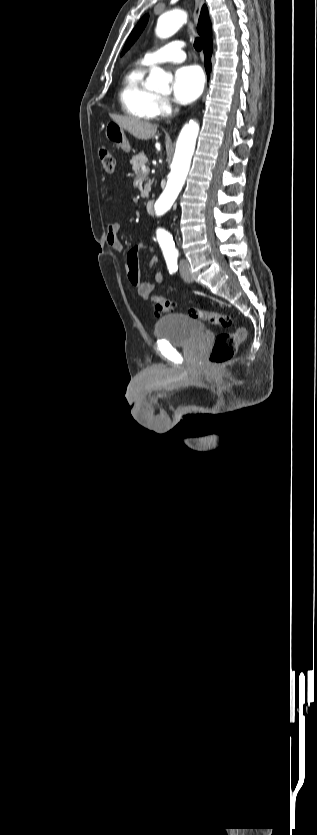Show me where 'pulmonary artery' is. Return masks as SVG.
<instances>
[{"mask_svg": "<svg viewBox=\"0 0 317 835\" xmlns=\"http://www.w3.org/2000/svg\"><path fill=\"white\" fill-rule=\"evenodd\" d=\"M183 47L184 43L182 41H172L157 50L146 53L142 61L146 65H154L167 61L182 62L186 58Z\"/></svg>", "mask_w": 317, "mask_h": 835, "instance_id": "pulmonary-artery-1", "label": "pulmonary artery"}]
</instances>
